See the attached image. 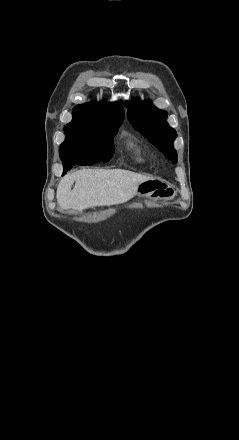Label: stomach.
Wrapping results in <instances>:
<instances>
[{
  "mask_svg": "<svg viewBox=\"0 0 239 440\" xmlns=\"http://www.w3.org/2000/svg\"><path fill=\"white\" fill-rule=\"evenodd\" d=\"M137 194H138V196H152V194H154V192H151V190H149L148 184H143V186H141V188H139Z\"/></svg>",
  "mask_w": 239,
  "mask_h": 440,
  "instance_id": "1",
  "label": "stomach"
}]
</instances>
